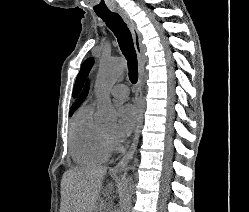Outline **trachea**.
<instances>
[{
    "instance_id": "3493384b",
    "label": "trachea",
    "mask_w": 249,
    "mask_h": 212,
    "mask_svg": "<svg viewBox=\"0 0 249 212\" xmlns=\"http://www.w3.org/2000/svg\"><path fill=\"white\" fill-rule=\"evenodd\" d=\"M97 15L117 37L119 47L128 62L129 79L135 84L138 80L137 57L129 28L118 13L106 12Z\"/></svg>"
}]
</instances>
